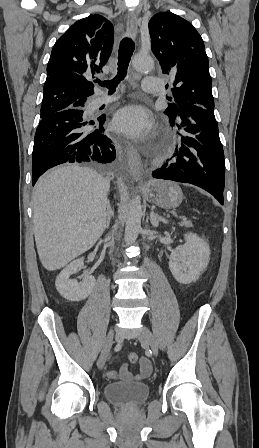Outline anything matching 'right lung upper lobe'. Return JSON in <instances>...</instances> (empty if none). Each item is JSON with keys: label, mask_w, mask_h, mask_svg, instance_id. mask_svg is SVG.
Returning <instances> with one entry per match:
<instances>
[{"label": "right lung upper lobe", "mask_w": 259, "mask_h": 448, "mask_svg": "<svg viewBox=\"0 0 259 448\" xmlns=\"http://www.w3.org/2000/svg\"><path fill=\"white\" fill-rule=\"evenodd\" d=\"M113 34L111 22L95 14L75 22L56 41L47 65L41 115L84 105L94 94L88 79L107 63Z\"/></svg>", "instance_id": "right-lung-upper-lobe-1"}]
</instances>
